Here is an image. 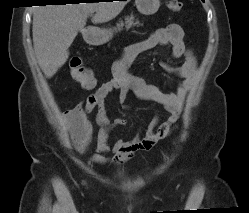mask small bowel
<instances>
[{"label": "small bowel", "instance_id": "small-bowel-1", "mask_svg": "<svg viewBox=\"0 0 249 213\" xmlns=\"http://www.w3.org/2000/svg\"><path fill=\"white\" fill-rule=\"evenodd\" d=\"M166 45L171 46L173 57L185 58L181 65L161 62V67L167 73L181 80L174 92H163L157 86L146 83L142 78L127 74L126 68L139 54ZM196 70V59L184 42L183 29L177 24H169L158 29L148 38L131 44L114 65L112 77L89 95L83 105H77L66 112L71 130L76 134L72 135L75 148L81 152L86 150L92 132L87 114L96 109V119L101 129L97 135L96 154L92 156L94 162L120 164L132 159L139 151H149L178 128L177 122L182 114L186 95L193 86ZM115 90L119 91L118 100L122 104L128 92L134 91L139 98L160 104L169 116L161 121V116L157 114L150 121L143 137L136 136L130 140L118 139L111 146L108 143L111 129L127 122L125 118H117L111 123L108 118L105 100ZM108 152H112L113 157L107 158L103 155Z\"/></svg>", "mask_w": 249, "mask_h": 213}]
</instances>
